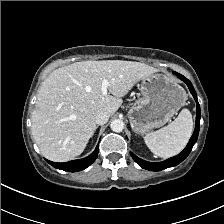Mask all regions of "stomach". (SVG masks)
Masks as SVG:
<instances>
[{
	"label": "stomach",
	"instance_id": "1",
	"mask_svg": "<svg viewBox=\"0 0 224 224\" xmlns=\"http://www.w3.org/2000/svg\"><path fill=\"white\" fill-rule=\"evenodd\" d=\"M141 97L128 111L131 128L138 134L165 125L185 104L186 92L166 75L153 73L138 85Z\"/></svg>",
	"mask_w": 224,
	"mask_h": 224
}]
</instances>
